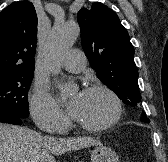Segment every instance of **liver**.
<instances>
[{
  "label": "liver",
  "mask_w": 168,
  "mask_h": 162,
  "mask_svg": "<svg viewBox=\"0 0 168 162\" xmlns=\"http://www.w3.org/2000/svg\"><path fill=\"white\" fill-rule=\"evenodd\" d=\"M100 145L92 138H54L0 123V162H56L53 155Z\"/></svg>",
  "instance_id": "obj_1"
}]
</instances>
